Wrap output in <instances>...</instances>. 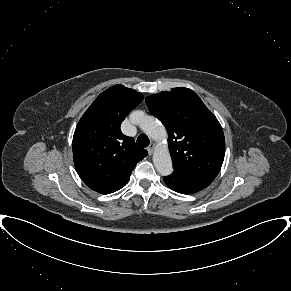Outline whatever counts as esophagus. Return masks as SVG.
Here are the masks:
<instances>
[{
  "label": "esophagus",
  "instance_id": "34e87169",
  "mask_svg": "<svg viewBox=\"0 0 291 291\" xmlns=\"http://www.w3.org/2000/svg\"><path fill=\"white\" fill-rule=\"evenodd\" d=\"M154 149H155V144L154 143H151L148 148H147V151L149 153V155H152L153 152H154Z\"/></svg>",
  "mask_w": 291,
  "mask_h": 291
}]
</instances>
